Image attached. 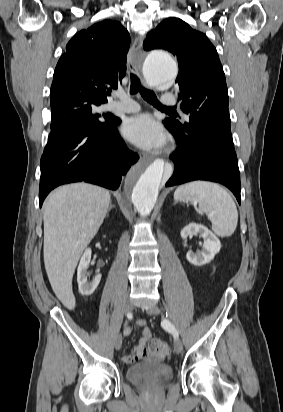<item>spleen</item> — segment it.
Listing matches in <instances>:
<instances>
[{
	"label": "spleen",
	"mask_w": 283,
	"mask_h": 412,
	"mask_svg": "<svg viewBox=\"0 0 283 412\" xmlns=\"http://www.w3.org/2000/svg\"><path fill=\"white\" fill-rule=\"evenodd\" d=\"M174 199L198 203L199 211L205 213L212 230L220 237L231 236L238 222V212L232 197L221 186L207 181H193L179 186Z\"/></svg>",
	"instance_id": "3e777b00"
}]
</instances>
